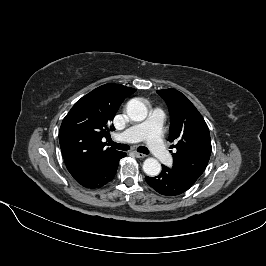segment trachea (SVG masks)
<instances>
[{"label":"trachea","instance_id":"obj_1","mask_svg":"<svg viewBox=\"0 0 266 266\" xmlns=\"http://www.w3.org/2000/svg\"><path fill=\"white\" fill-rule=\"evenodd\" d=\"M108 145L118 149V150H123V151H127L129 149V146L126 145V144H120V143H115L111 140H109V143ZM137 150L143 154H149V151L147 148L141 146V147H138Z\"/></svg>","mask_w":266,"mask_h":266}]
</instances>
